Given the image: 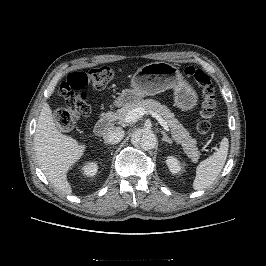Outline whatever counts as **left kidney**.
<instances>
[{
  "mask_svg": "<svg viewBox=\"0 0 266 266\" xmlns=\"http://www.w3.org/2000/svg\"><path fill=\"white\" fill-rule=\"evenodd\" d=\"M166 163L171 173L177 174L181 171V164L175 157L169 156L166 160Z\"/></svg>",
  "mask_w": 266,
  "mask_h": 266,
  "instance_id": "left-kidney-1",
  "label": "left kidney"
}]
</instances>
